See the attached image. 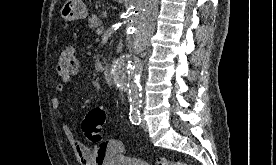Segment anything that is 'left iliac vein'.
Instances as JSON below:
<instances>
[{
  "mask_svg": "<svg viewBox=\"0 0 276 165\" xmlns=\"http://www.w3.org/2000/svg\"><path fill=\"white\" fill-rule=\"evenodd\" d=\"M141 127H142L144 130H147V128H148L147 122H146L144 119H142V121H141Z\"/></svg>",
  "mask_w": 276,
  "mask_h": 165,
  "instance_id": "obj_1",
  "label": "left iliac vein"
}]
</instances>
